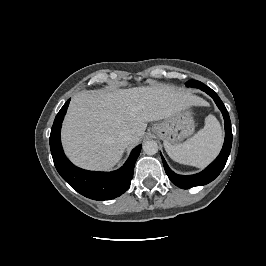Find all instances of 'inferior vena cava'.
<instances>
[{
  "instance_id": "obj_1",
  "label": "inferior vena cava",
  "mask_w": 266,
  "mask_h": 266,
  "mask_svg": "<svg viewBox=\"0 0 266 266\" xmlns=\"http://www.w3.org/2000/svg\"><path fill=\"white\" fill-rule=\"evenodd\" d=\"M119 137L120 140L125 144H130L132 141V135L129 132H121Z\"/></svg>"
}]
</instances>
